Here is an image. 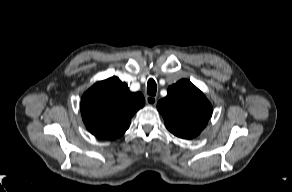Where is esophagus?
Masks as SVG:
<instances>
[{"mask_svg":"<svg viewBox=\"0 0 292 192\" xmlns=\"http://www.w3.org/2000/svg\"><path fill=\"white\" fill-rule=\"evenodd\" d=\"M145 100L148 105H155L157 103V98L154 96H146Z\"/></svg>","mask_w":292,"mask_h":192,"instance_id":"1","label":"esophagus"}]
</instances>
